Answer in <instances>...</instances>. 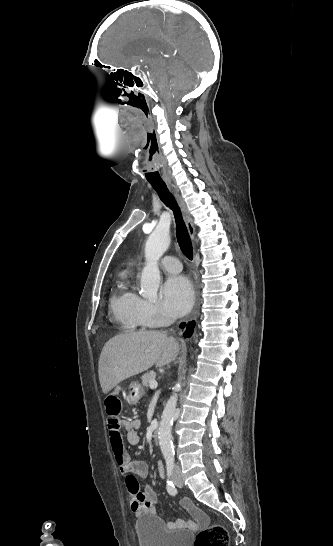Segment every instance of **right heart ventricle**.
Listing matches in <instances>:
<instances>
[{
    "label": "right heart ventricle",
    "instance_id": "1",
    "mask_svg": "<svg viewBox=\"0 0 333 546\" xmlns=\"http://www.w3.org/2000/svg\"><path fill=\"white\" fill-rule=\"evenodd\" d=\"M138 298L131 275L124 274L111 294L110 310L112 319L127 330H138L145 325L136 312Z\"/></svg>",
    "mask_w": 333,
    "mask_h": 546
}]
</instances>
